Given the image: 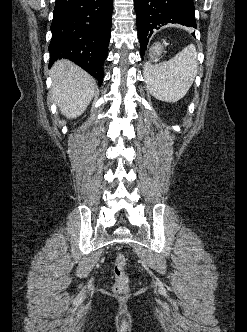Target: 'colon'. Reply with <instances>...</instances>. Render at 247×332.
<instances>
[{
    "instance_id": "5ec220e1",
    "label": "colon",
    "mask_w": 247,
    "mask_h": 332,
    "mask_svg": "<svg viewBox=\"0 0 247 332\" xmlns=\"http://www.w3.org/2000/svg\"><path fill=\"white\" fill-rule=\"evenodd\" d=\"M127 258L123 254H118L113 265L115 281L113 291L118 295H125L129 292V277L125 271Z\"/></svg>"
}]
</instances>
